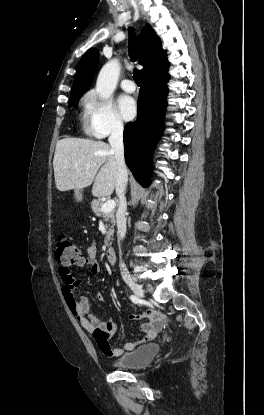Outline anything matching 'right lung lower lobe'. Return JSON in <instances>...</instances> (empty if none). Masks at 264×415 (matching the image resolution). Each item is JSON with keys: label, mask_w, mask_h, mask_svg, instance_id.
<instances>
[{"label": "right lung lower lobe", "mask_w": 264, "mask_h": 415, "mask_svg": "<svg viewBox=\"0 0 264 415\" xmlns=\"http://www.w3.org/2000/svg\"><path fill=\"white\" fill-rule=\"evenodd\" d=\"M169 77V74H163L142 80L137 120L127 123L124 128L125 161L143 186L150 183L151 152L163 132Z\"/></svg>", "instance_id": "98d812e1"}]
</instances>
